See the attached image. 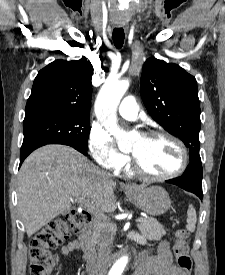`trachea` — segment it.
I'll use <instances>...</instances> for the list:
<instances>
[{
  "mask_svg": "<svg viewBox=\"0 0 225 275\" xmlns=\"http://www.w3.org/2000/svg\"><path fill=\"white\" fill-rule=\"evenodd\" d=\"M113 42L116 48L120 49L124 43V30L122 28H115L113 30Z\"/></svg>",
  "mask_w": 225,
  "mask_h": 275,
  "instance_id": "obj_1",
  "label": "trachea"
}]
</instances>
